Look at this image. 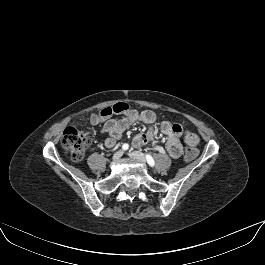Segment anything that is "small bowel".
Here are the masks:
<instances>
[{
  "mask_svg": "<svg viewBox=\"0 0 265 265\" xmlns=\"http://www.w3.org/2000/svg\"><path fill=\"white\" fill-rule=\"evenodd\" d=\"M142 122L148 125V129L144 133H140L133 138V145L140 147L154 141L156 134V127L158 124L157 115L152 110H130L119 118L109 119L105 121L100 130L107 135L105 145L108 148L115 146L122 134L134 123ZM160 129L163 134L167 136L166 150L172 158H179L182 154L183 141L188 146H195L199 139L196 134L190 130L183 129V127L176 122L163 121L160 124Z\"/></svg>",
  "mask_w": 265,
  "mask_h": 265,
  "instance_id": "1",
  "label": "small bowel"
}]
</instances>
